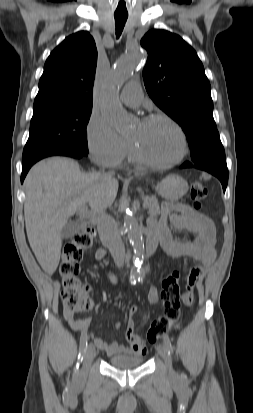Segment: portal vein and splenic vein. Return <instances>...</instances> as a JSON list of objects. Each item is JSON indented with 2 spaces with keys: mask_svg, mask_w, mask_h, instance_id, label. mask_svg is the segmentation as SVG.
Instances as JSON below:
<instances>
[{
  "mask_svg": "<svg viewBox=\"0 0 253 413\" xmlns=\"http://www.w3.org/2000/svg\"><path fill=\"white\" fill-rule=\"evenodd\" d=\"M143 207L145 209L148 208V203L146 201L143 202ZM78 212L80 216L85 217V218H90L92 216V213L88 210V206L86 204L79 207Z\"/></svg>",
  "mask_w": 253,
  "mask_h": 413,
  "instance_id": "1",
  "label": "portal vein and splenic vein"
}]
</instances>
